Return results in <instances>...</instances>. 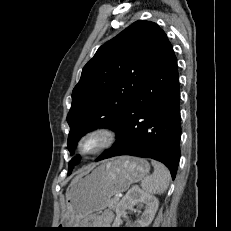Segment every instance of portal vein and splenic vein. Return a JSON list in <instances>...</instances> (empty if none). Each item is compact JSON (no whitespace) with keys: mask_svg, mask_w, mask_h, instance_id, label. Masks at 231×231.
<instances>
[{"mask_svg":"<svg viewBox=\"0 0 231 231\" xmlns=\"http://www.w3.org/2000/svg\"><path fill=\"white\" fill-rule=\"evenodd\" d=\"M120 197H122V194H116L114 198L119 199Z\"/></svg>","mask_w":231,"mask_h":231,"instance_id":"obj_1","label":"portal vein and splenic vein"}]
</instances>
